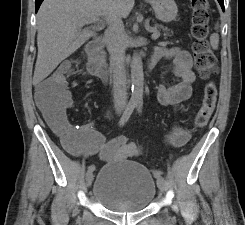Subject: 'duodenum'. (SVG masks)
Returning <instances> with one entry per match:
<instances>
[{
    "label": "duodenum",
    "instance_id": "obj_1",
    "mask_svg": "<svg viewBox=\"0 0 245 225\" xmlns=\"http://www.w3.org/2000/svg\"><path fill=\"white\" fill-rule=\"evenodd\" d=\"M101 41L90 42L86 46V52L88 55V68L92 75L98 77H105L109 75L112 70L105 66V55L101 49ZM158 59L156 53H152L146 62L147 68H151L155 61Z\"/></svg>",
    "mask_w": 245,
    "mask_h": 225
}]
</instances>
